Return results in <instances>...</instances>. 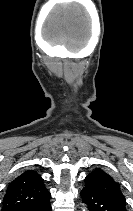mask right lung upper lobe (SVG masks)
I'll return each mask as SVG.
<instances>
[{
	"label": "right lung upper lobe",
	"instance_id": "right-lung-upper-lobe-1",
	"mask_svg": "<svg viewBox=\"0 0 133 211\" xmlns=\"http://www.w3.org/2000/svg\"><path fill=\"white\" fill-rule=\"evenodd\" d=\"M49 196L41 176L36 171L27 170L7 187L2 211H25Z\"/></svg>",
	"mask_w": 133,
	"mask_h": 211
}]
</instances>
